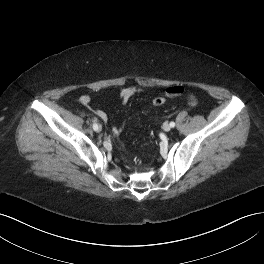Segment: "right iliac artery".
I'll return each mask as SVG.
<instances>
[{"label": "right iliac artery", "instance_id": "82829eb1", "mask_svg": "<svg viewBox=\"0 0 264 264\" xmlns=\"http://www.w3.org/2000/svg\"><path fill=\"white\" fill-rule=\"evenodd\" d=\"M93 129H94L95 131H98V125H97L96 123L93 124Z\"/></svg>", "mask_w": 264, "mask_h": 264}]
</instances>
